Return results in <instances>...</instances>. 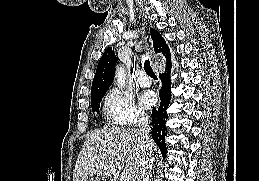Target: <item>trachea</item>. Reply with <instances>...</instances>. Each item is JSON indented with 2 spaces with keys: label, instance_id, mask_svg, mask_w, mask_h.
Masks as SVG:
<instances>
[{
  "label": "trachea",
  "instance_id": "3493384b",
  "mask_svg": "<svg viewBox=\"0 0 259 181\" xmlns=\"http://www.w3.org/2000/svg\"><path fill=\"white\" fill-rule=\"evenodd\" d=\"M144 70L147 73V75H149L150 77L157 78L155 72L153 71V69H152V67L150 65L149 60H145V62H144Z\"/></svg>",
  "mask_w": 259,
  "mask_h": 181
}]
</instances>
